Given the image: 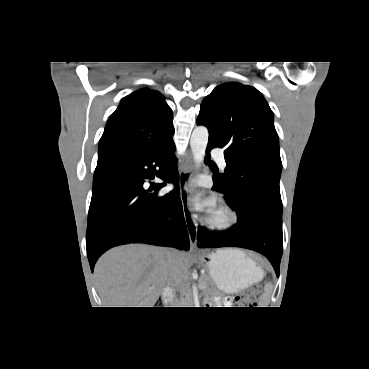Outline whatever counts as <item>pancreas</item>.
Here are the masks:
<instances>
[{
    "label": "pancreas",
    "instance_id": "1",
    "mask_svg": "<svg viewBox=\"0 0 369 369\" xmlns=\"http://www.w3.org/2000/svg\"><path fill=\"white\" fill-rule=\"evenodd\" d=\"M199 288L201 290H205L207 288L206 281L200 280L199 281ZM183 303L184 304H190V299L188 297H186L185 300H183Z\"/></svg>",
    "mask_w": 369,
    "mask_h": 369
}]
</instances>
